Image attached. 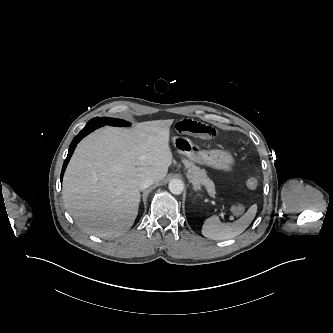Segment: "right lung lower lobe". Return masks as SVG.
<instances>
[{
  "label": "right lung lower lobe",
  "instance_id": "right-lung-lower-lobe-1",
  "mask_svg": "<svg viewBox=\"0 0 333 333\" xmlns=\"http://www.w3.org/2000/svg\"><path fill=\"white\" fill-rule=\"evenodd\" d=\"M101 127L100 124H87L80 132L77 136H75V138L73 139V141L71 142L70 144V147H69V151H68V155H67V158L66 160L64 161V164H63V167H62V172H61V179H62V176H63V173L65 171V168L70 160V157L77 145V143L79 141H81V139H83L86 135H88L90 132L94 131L95 129Z\"/></svg>",
  "mask_w": 333,
  "mask_h": 333
}]
</instances>
